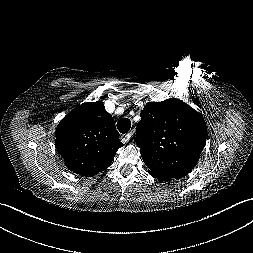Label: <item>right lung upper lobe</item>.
<instances>
[{
    "label": "right lung upper lobe",
    "instance_id": "right-lung-upper-lobe-1",
    "mask_svg": "<svg viewBox=\"0 0 253 253\" xmlns=\"http://www.w3.org/2000/svg\"><path fill=\"white\" fill-rule=\"evenodd\" d=\"M122 146L102 101L76 107L56 129L57 151L67 168L81 176L91 177L107 169Z\"/></svg>",
    "mask_w": 253,
    "mask_h": 253
}]
</instances>
